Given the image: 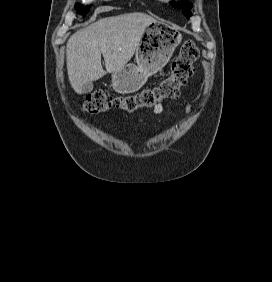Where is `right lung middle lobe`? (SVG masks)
<instances>
[{"mask_svg": "<svg viewBox=\"0 0 272 282\" xmlns=\"http://www.w3.org/2000/svg\"><path fill=\"white\" fill-rule=\"evenodd\" d=\"M87 9L88 8H84L82 5H79V4L76 5V10L80 14H85L87 12L86 11Z\"/></svg>", "mask_w": 272, "mask_h": 282, "instance_id": "dd1d6c3e", "label": "right lung middle lobe"}]
</instances>
